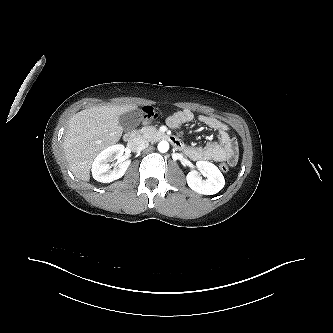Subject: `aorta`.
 <instances>
[{"label": "aorta", "mask_w": 333, "mask_h": 333, "mask_svg": "<svg viewBox=\"0 0 333 333\" xmlns=\"http://www.w3.org/2000/svg\"><path fill=\"white\" fill-rule=\"evenodd\" d=\"M159 152L165 153L169 150V143L167 141H160L157 146Z\"/></svg>", "instance_id": "762f6f07"}]
</instances>
